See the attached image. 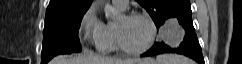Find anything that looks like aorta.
Segmentation results:
<instances>
[{"label": "aorta", "instance_id": "obj_1", "mask_svg": "<svg viewBox=\"0 0 242 64\" xmlns=\"http://www.w3.org/2000/svg\"><path fill=\"white\" fill-rule=\"evenodd\" d=\"M104 13H105L106 18H110V19H114L118 15L117 10L109 3L105 4Z\"/></svg>", "mask_w": 242, "mask_h": 64}]
</instances>
